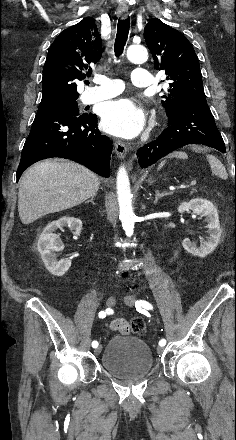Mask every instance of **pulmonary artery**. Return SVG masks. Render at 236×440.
I'll return each instance as SVG.
<instances>
[{
  "label": "pulmonary artery",
  "instance_id": "1",
  "mask_svg": "<svg viewBox=\"0 0 236 440\" xmlns=\"http://www.w3.org/2000/svg\"><path fill=\"white\" fill-rule=\"evenodd\" d=\"M131 79L135 87L148 88L152 85L153 77L150 72L142 67H136L132 71ZM124 89L121 80L101 77L99 85L95 88L88 89L83 94V102L86 104L95 103L106 100L120 94Z\"/></svg>",
  "mask_w": 236,
  "mask_h": 440
}]
</instances>
